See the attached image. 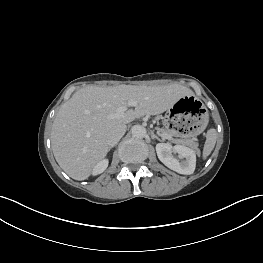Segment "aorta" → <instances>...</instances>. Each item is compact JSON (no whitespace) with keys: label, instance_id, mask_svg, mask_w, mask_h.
<instances>
[{"label":"aorta","instance_id":"762f6f07","mask_svg":"<svg viewBox=\"0 0 263 263\" xmlns=\"http://www.w3.org/2000/svg\"><path fill=\"white\" fill-rule=\"evenodd\" d=\"M131 133L134 138L142 139L146 136V129L141 125H134L131 128Z\"/></svg>","mask_w":263,"mask_h":263}]
</instances>
